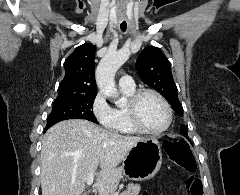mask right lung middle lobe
<instances>
[{
    "label": "right lung middle lobe",
    "instance_id": "obj_1",
    "mask_svg": "<svg viewBox=\"0 0 240 195\" xmlns=\"http://www.w3.org/2000/svg\"><path fill=\"white\" fill-rule=\"evenodd\" d=\"M96 96H58L48 117L45 131L54 124L67 119H86L97 123L92 108Z\"/></svg>",
    "mask_w": 240,
    "mask_h": 195
}]
</instances>
